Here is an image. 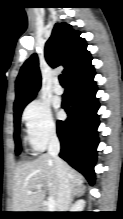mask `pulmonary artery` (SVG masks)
Returning <instances> with one entry per match:
<instances>
[{"label": "pulmonary artery", "mask_w": 123, "mask_h": 219, "mask_svg": "<svg viewBox=\"0 0 123 219\" xmlns=\"http://www.w3.org/2000/svg\"><path fill=\"white\" fill-rule=\"evenodd\" d=\"M53 92L57 95H61L63 93V88L61 87L58 81H56L53 86Z\"/></svg>", "instance_id": "obj_1"}]
</instances>
